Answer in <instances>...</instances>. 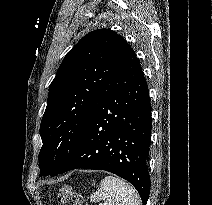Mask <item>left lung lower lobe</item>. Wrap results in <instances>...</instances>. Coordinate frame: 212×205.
Listing matches in <instances>:
<instances>
[{"label": "left lung lower lobe", "mask_w": 212, "mask_h": 205, "mask_svg": "<svg viewBox=\"0 0 212 205\" xmlns=\"http://www.w3.org/2000/svg\"><path fill=\"white\" fill-rule=\"evenodd\" d=\"M151 127L148 85L130 48L60 174L78 168L109 171L129 181L146 205Z\"/></svg>", "instance_id": "1"}]
</instances>
